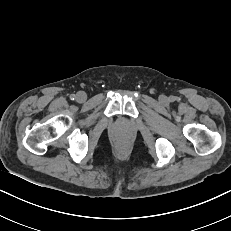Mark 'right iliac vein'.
<instances>
[{
  "label": "right iliac vein",
  "mask_w": 231,
  "mask_h": 231,
  "mask_svg": "<svg viewBox=\"0 0 231 231\" xmlns=\"http://www.w3.org/2000/svg\"><path fill=\"white\" fill-rule=\"evenodd\" d=\"M87 96L85 94V92L83 91H80L76 94L75 96V99L78 101V102H84L86 100Z\"/></svg>",
  "instance_id": "obj_1"
}]
</instances>
